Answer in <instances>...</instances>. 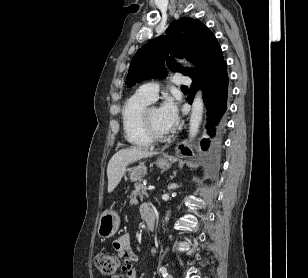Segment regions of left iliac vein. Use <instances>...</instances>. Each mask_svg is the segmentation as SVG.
Listing matches in <instances>:
<instances>
[{"label": "left iliac vein", "mask_w": 308, "mask_h": 278, "mask_svg": "<svg viewBox=\"0 0 308 278\" xmlns=\"http://www.w3.org/2000/svg\"><path fill=\"white\" fill-rule=\"evenodd\" d=\"M167 278H173V276L171 274H168Z\"/></svg>", "instance_id": "obj_1"}]
</instances>
